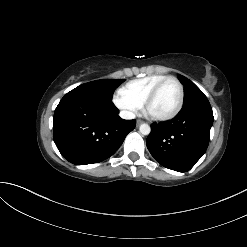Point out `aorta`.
Listing matches in <instances>:
<instances>
[{
  "label": "aorta",
  "mask_w": 247,
  "mask_h": 247,
  "mask_svg": "<svg viewBox=\"0 0 247 247\" xmlns=\"http://www.w3.org/2000/svg\"><path fill=\"white\" fill-rule=\"evenodd\" d=\"M139 131L141 134L143 135H149V133L151 132V128L148 124H141L139 127Z\"/></svg>",
  "instance_id": "aorta-1"
}]
</instances>
